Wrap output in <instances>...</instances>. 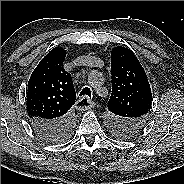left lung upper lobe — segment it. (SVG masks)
Segmentation results:
<instances>
[{
    "instance_id": "1",
    "label": "left lung upper lobe",
    "mask_w": 184,
    "mask_h": 184,
    "mask_svg": "<svg viewBox=\"0 0 184 184\" xmlns=\"http://www.w3.org/2000/svg\"><path fill=\"white\" fill-rule=\"evenodd\" d=\"M111 75L109 126L116 136L131 137L147 122L152 104L150 84L138 58L122 46L112 49Z\"/></svg>"
}]
</instances>
